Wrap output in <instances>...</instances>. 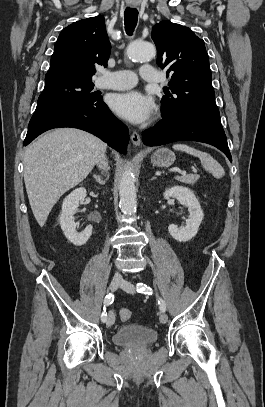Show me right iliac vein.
I'll return each instance as SVG.
<instances>
[{"mask_svg":"<svg viewBox=\"0 0 265 407\" xmlns=\"http://www.w3.org/2000/svg\"><path fill=\"white\" fill-rule=\"evenodd\" d=\"M122 280L119 277H114L109 285L111 291H115L119 285L121 284ZM115 316L112 312H110L107 316L106 325L107 327H111L114 324Z\"/></svg>","mask_w":265,"mask_h":407,"instance_id":"1","label":"right iliac vein"}]
</instances>
